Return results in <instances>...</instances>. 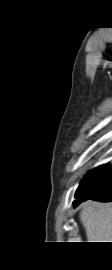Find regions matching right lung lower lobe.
Listing matches in <instances>:
<instances>
[{
    "label": "right lung lower lobe",
    "instance_id": "1",
    "mask_svg": "<svg viewBox=\"0 0 112 270\" xmlns=\"http://www.w3.org/2000/svg\"><path fill=\"white\" fill-rule=\"evenodd\" d=\"M81 185L83 193L73 202L74 207L89 199L112 201V168L108 164L99 166L81 181Z\"/></svg>",
    "mask_w": 112,
    "mask_h": 270
}]
</instances>
